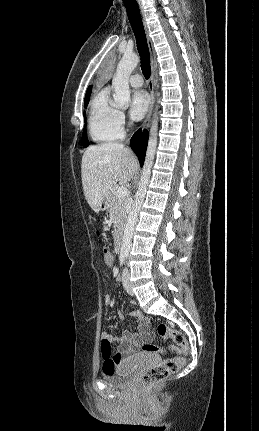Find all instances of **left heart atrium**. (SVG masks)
I'll return each instance as SVG.
<instances>
[{
    "instance_id": "obj_1",
    "label": "left heart atrium",
    "mask_w": 259,
    "mask_h": 431,
    "mask_svg": "<svg viewBox=\"0 0 259 431\" xmlns=\"http://www.w3.org/2000/svg\"><path fill=\"white\" fill-rule=\"evenodd\" d=\"M149 96L143 90L135 91L131 96L130 114L133 119L140 120L149 108Z\"/></svg>"
}]
</instances>
